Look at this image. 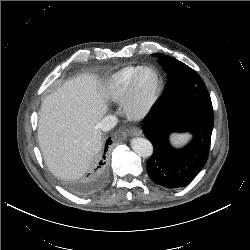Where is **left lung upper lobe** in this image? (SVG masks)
I'll return each instance as SVG.
<instances>
[{"label":"left lung upper lobe","instance_id":"left-lung-upper-lobe-1","mask_svg":"<svg viewBox=\"0 0 250 250\" xmlns=\"http://www.w3.org/2000/svg\"><path fill=\"white\" fill-rule=\"evenodd\" d=\"M153 56L157 58L159 64L168 74L161 98L174 96L196 87H204L201 77L189 66L162 53H155Z\"/></svg>","mask_w":250,"mask_h":250}]
</instances>
